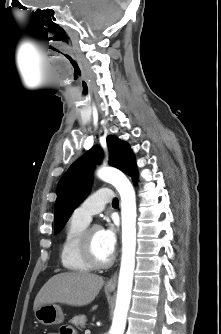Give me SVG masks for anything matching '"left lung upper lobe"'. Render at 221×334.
<instances>
[{"label": "left lung upper lobe", "instance_id": "left-lung-upper-lobe-1", "mask_svg": "<svg viewBox=\"0 0 221 334\" xmlns=\"http://www.w3.org/2000/svg\"><path fill=\"white\" fill-rule=\"evenodd\" d=\"M107 146L109 164L132 177L136 173V163L128 144L110 135L107 137ZM101 158L99 148L93 147L75 161L59 181L54 213L55 234L62 230L72 212L87 196L92 168Z\"/></svg>", "mask_w": 221, "mask_h": 334}]
</instances>
